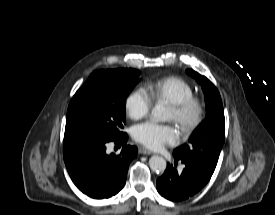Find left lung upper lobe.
I'll use <instances>...</instances> for the list:
<instances>
[{
    "instance_id": "left-lung-upper-lobe-1",
    "label": "left lung upper lobe",
    "mask_w": 275,
    "mask_h": 215,
    "mask_svg": "<svg viewBox=\"0 0 275 215\" xmlns=\"http://www.w3.org/2000/svg\"><path fill=\"white\" fill-rule=\"evenodd\" d=\"M186 72L195 78L203 89L207 117L193 131L189 143L176 148L173 156L215 168L225 136V118L221 97L216 87L206 77L192 69H187Z\"/></svg>"
}]
</instances>
